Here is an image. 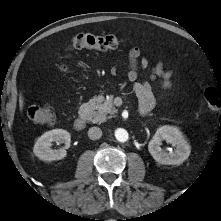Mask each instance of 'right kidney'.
<instances>
[{
  "label": "right kidney",
  "instance_id": "1",
  "mask_svg": "<svg viewBox=\"0 0 221 221\" xmlns=\"http://www.w3.org/2000/svg\"><path fill=\"white\" fill-rule=\"evenodd\" d=\"M59 140H63L65 147L58 150H52V142ZM70 141L71 136L68 131L63 129H53L45 132L38 138L34 145L33 152L39 159L44 161L61 160L67 155L66 149L69 148Z\"/></svg>",
  "mask_w": 221,
  "mask_h": 221
}]
</instances>
